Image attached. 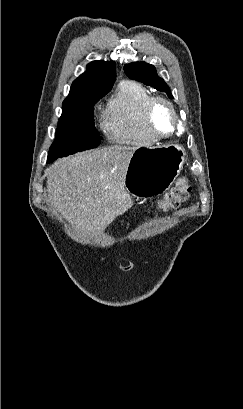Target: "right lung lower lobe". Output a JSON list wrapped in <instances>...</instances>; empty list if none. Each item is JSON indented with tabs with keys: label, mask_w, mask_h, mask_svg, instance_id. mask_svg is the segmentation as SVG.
Returning <instances> with one entry per match:
<instances>
[{
	"label": "right lung lower lobe",
	"mask_w": 243,
	"mask_h": 409,
	"mask_svg": "<svg viewBox=\"0 0 243 409\" xmlns=\"http://www.w3.org/2000/svg\"><path fill=\"white\" fill-rule=\"evenodd\" d=\"M56 159H58V158H48L47 163H50V162H52V161H54Z\"/></svg>",
	"instance_id": "1"
}]
</instances>
